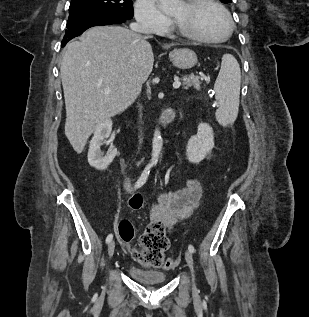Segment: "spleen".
Returning a JSON list of instances; mask_svg holds the SVG:
<instances>
[{
    "instance_id": "1",
    "label": "spleen",
    "mask_w": 309,
    "mask_h": 317,
    "mask_svg": "<svg viewBox=\"0 0 309 317\" xmlns=\"http://www.w3.org/2000/svg\"><path fill=\"white\" fill-rule=\"evenodd\" d=\"M241 71L240 66L231 54H224L221 68L214 84L218 109L216 119L219 124H232L238 115L240 97Z\"/></svg>"
}]
</instances>
